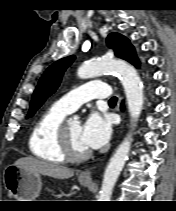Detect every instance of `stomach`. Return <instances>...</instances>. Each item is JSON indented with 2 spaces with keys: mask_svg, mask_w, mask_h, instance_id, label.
Returning <instances> with one entry per match:
<instances>
[{
  "mask_svg": "<svg viewBox=\"0 0 176 211\" xmlns=\"http://www.w3.org/2000/svg\"><path fill=\"white\" fill-rule=\"evenodd\" d=\"M3 181L8 193L17 201H34L41 190V176L39 173L30 172L15 165L6 167ZM83 186L89 184L88 180L79 178Z\"/></svg>",
  "mask_w": 176,
  "mask_h": 211,
  "instance_id": "stomach-1",
  "label": "stomach"
}]
</instances>
